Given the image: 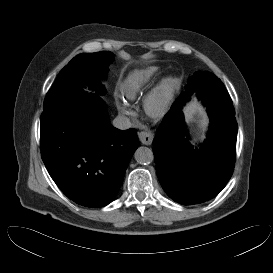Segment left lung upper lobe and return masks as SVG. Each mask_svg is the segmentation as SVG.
<instances>
[{
  "instance_id": "left-lung-upper-lobe-1",
  "label": "left lung upper lobe",
  "mask_w": 273,
  "mask_h": 273,
  "mask_svg": "<svg viewBox=\"0 0 273 273\" xmlns=\"http://www.w3.org/2000/svg\"><path fill=\"white\" fill-rule=\"evenodd\" d=\"M209 72L198 71L193 74L188 80V85L185 86L186 92L183 95L194 92L198 85L202 82V78L206 76Z\"/></svg>"
}]
</instances>
